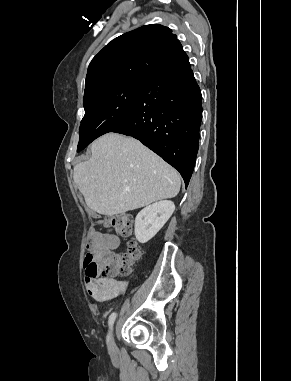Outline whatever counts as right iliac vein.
Instances as JSON below:
<instances>
[{"mask_svg": "<svg viewBox=\"0 0 291 381\" xmlns=\"http://www.w3.org/2000/svg\"><path fill=\"white\" fill-rule=\"evenodd\" d=\"M108 344L109 347L112 349L114 347V333L113 330H111L109 337H108Z\"/></svg>", "mask_w": 291, "mask_h": 381, "instance_id": "63e3f726", "label": "right iliac vein"}]
</instances>
